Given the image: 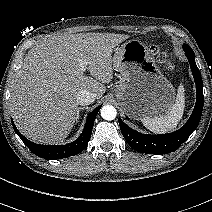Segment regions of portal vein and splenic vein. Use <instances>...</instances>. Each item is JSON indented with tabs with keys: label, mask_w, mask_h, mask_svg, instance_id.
<instances>
[{
	"label": "portal vein and splenic vein",
	"mask_w": 212,
	"mask_h": 212,
	"mask_svg": "<svg viewBox=\"0 0 212 212\" xmlns=\"http://www.w3.org/2000/svg\"><path fill=\"white\" fill-rule=\"evenodd\" d=\"M80 66H81V69H82L83 71H85V70H86V67H87V64H86V62L80 60Z\"/></svg>",
	"instance_id": "portal-vein-and-splenic-vein-1"
}]
</instances>
